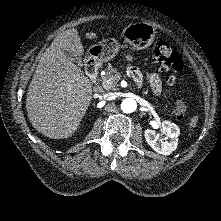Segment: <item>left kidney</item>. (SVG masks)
Returning <instances> with one entry per match:
<instances>
[{
    "label": "left kidney",
    "mask_w": 221,
    "mask_h": 221,
    "mask_svg": "<svg viewBox=\"0 0 221 221\" xmlns=\"http://www.w3.org/2000/svg\"><path fill=\"white\" fill-rule=\"evenodd\" d=\"M161 131L164 135H166V139L169 140L162 141L159 138V135L151 129L145 130V140L147 144L157 153L170 155L177 148L180 129L176 124L170 121H163Z\"/></svg>",
    "instance_id": "1"
}]
</instances>
